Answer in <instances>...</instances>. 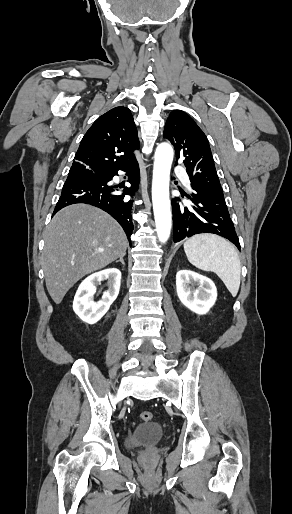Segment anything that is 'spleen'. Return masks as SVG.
Here are the masks:
<instances>
[{
    "instance_id": "1",
    "label": "spleen",
    "mask_w": 292,
    "mask_h": 514,
    "mask_svg": "<svg viewBox=\"0 0 292 514\" xmlns=\"http://www.w3.org/2000/svg\"><path fill=\"white\" fill-rule=\"evenodd\" d=\"M184 252L195 268L214 272L224 282L233 298L240 288L241 264L230 242L216 234H196L184 242Z\"/></svg>"
}]
</instances>
